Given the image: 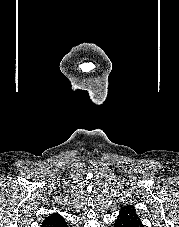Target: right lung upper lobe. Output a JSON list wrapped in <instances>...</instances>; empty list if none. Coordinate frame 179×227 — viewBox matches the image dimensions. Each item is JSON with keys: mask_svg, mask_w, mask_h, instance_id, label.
Wrapping results in <instances>:
<instances>
[{"mask_svg": "<svg viewBox=\"0 0 179 227\" xmlns=\"http://www.w3.org/2000/svg\"><path fill=\"white\" fill-rule=\"evenodd\" d=\"M66 224L63 217L58 213L49 215L42 223V227H62Z\"/></svg>", "mask_w": 179, "mask_h": 227, "instance_id": "obj_1", "label": "right lung upper lobe"}]
</instances>
